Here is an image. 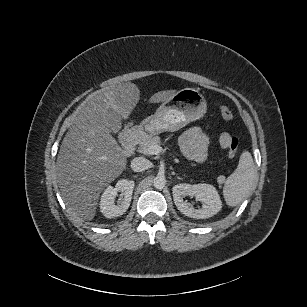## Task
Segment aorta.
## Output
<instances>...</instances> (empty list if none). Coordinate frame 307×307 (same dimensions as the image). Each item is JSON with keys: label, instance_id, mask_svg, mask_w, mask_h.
I'll return each instance as SVG.
<instances>
[{"label": "aorta", "instance_id": "obj_1", "mask_svg": "<svg viewBox=\"0 0 307 307\" xmlns=\"http://www.w3.org/2000/svg\"><path fill=\"white\" fill-rule=\"evenodd\" d=\"M154 186L157 188V189H162L165 187L166 185V178L165 176L163 175H157L155 178H154Z\"/></svg>", "mask_w": 307, "mask_h": 307}]
</instances>
